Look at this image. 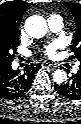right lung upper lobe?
<instances>
[{"label":"right lung upper lobe","instance_id":"1","mask_svg":"<svg viewBox=\"0 0 81 124\" xmlns=\"http://www.w3.org/2000/svg\"><path fill=\"white\" fill-rule=\"evenodd\" d=\"M30 5L25 1H7L0 5V43L9 38L18 40L21 18Z\"/></svg>","mask_w":81,"mask_h":124}]
</instances>
